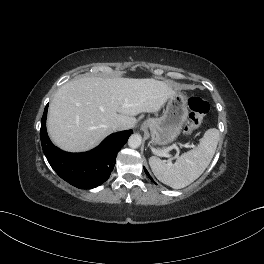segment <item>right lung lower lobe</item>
Instances as JSON below:
<instances>
[{
	"instance_id": "1",
	"label": "right lung lower lobe",
	"mask_w": 264,
	"mask_h": 264,
	"mask_svg": "<svg viewBox=\"0 0 264 264\" xmlns=\"http://www.w3.org/2000/svg\"><path fill=\"white\" fill-rule=\"evenodd\" d=\"M48 104L41 120L43 152L54 171L69 184L80 189H92L105 182L114 168L115 158L127 142L132 130L109 135L95 149L85 153H69L55 147L46 131Z\"/></svg>"
}]
</instances>
